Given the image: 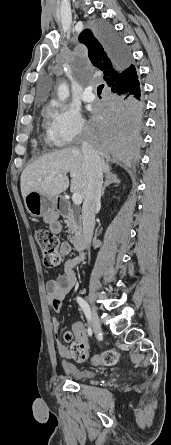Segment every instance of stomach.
<instances>
[{
  "label": "stomach",
  "instance_id": "1",
  "mask_svg": "<svg viewBox=\"0 0 171 445\" xmlns=\"http://www.w3.org/2000/svg\"><path fill=\"white\" fill-rule=\"evenodd\" d=\"M26 210L31 216L47 217L56 220L57 198L41 194L36 191L29 192L24 198Z\"/></svg>",
  "mask_w": 171,
  "mask_h": 445
}]
</instances>
